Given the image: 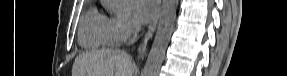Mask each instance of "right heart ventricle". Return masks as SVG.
I'll return each instance as SVG.
<instances>
[{
	"instance_id": "e07e8e85",
	"label": "right heart ventricle",
	"mask_w": 287,
	"mask_h": 76,
	"mask_svg": "<svg viewBox=\"0 0 287 76\" xmlns=\"http://www.w3.org/2000/svg\"><path fill=\"white\" fill-rule=\"evenodd\" d=\"M110 18L91 8L79 29V42L85 48H99L114 44L110 32Z\"/></svg>"
}]
</instances>
